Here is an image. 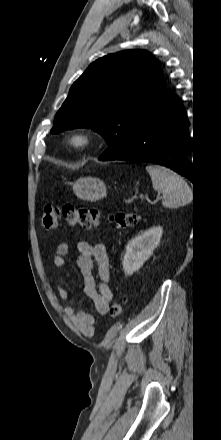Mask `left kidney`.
Instances as JSON below:
<instances>
[{
  "instance_id": "left-kidney-1",
  "label": "left kidney",
  "mask_w": 221,
  "mask_h": 440,
  "mask_svg": "<svg viewBox=\"0 0 221 440\" xmlns=\"http://www.w3.org/2000/svg\"><path fill=\"white\" fill-rule=\"evenodd\" d=\"M162 234V227H152L129 241L122 261L126 275H132L143 266L159 244Z\"/></svg>"
}]
</instances>
